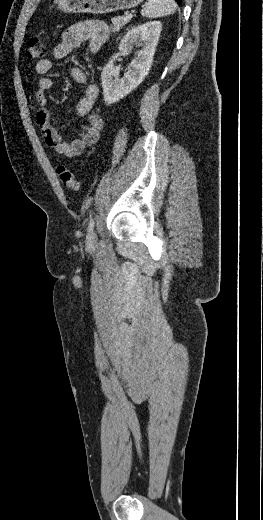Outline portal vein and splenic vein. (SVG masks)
Wrapping results in <instances>:
<instances>
[{"instance_id":"portal-vein-and-splenic-vein-1","label":"portal vein and splenic vein","mask_w":263,"mask_h":520,"mask_svg":"<svg viewBox=\"0 0 263 520\" xmlns=\"http://www.w3.org/2000/svg\"><path fill=\"white\" fill-rule=\"evenodd\" d=\"M132 16H133L132 13H126V16H125V17H126V18H131Z\"/></svg>"}]
</instances>
